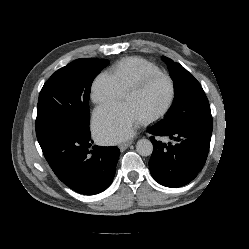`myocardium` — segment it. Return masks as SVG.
Wrapping results in <instances>:
<instances>
[{"label":"myocardium","instance_id":"1","mask_svg":"<svg viewBox=\"0 0 249 249\" xmlns=\"http://www.w3.org/2000/svg\"><path fill=\"white\" fill-rule=\"evenodd\" d=\"M159 78H164L169 82L170 88H171L170 96H169V99H168L166 105L160 111H158L157 113H155L149 117L142 119V121L145 123H149V122H153V121L161 119L172 108L174 101H175V98H176V85H175L173 78L170 75H168L166 73H162V72L155 73V74H149V75L142 77L141 79H139L138 81H136L132 85H130L124 91V96H126L127 94H130V93L139 92L142 89H144L149 83H151L152 81L159 79Z\"/></svg>","mask_w":249,"mask_h":249}]
</instances>
